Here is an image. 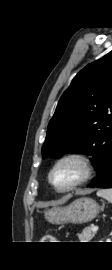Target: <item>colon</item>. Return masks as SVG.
<instances>
[{"instance_id": "1", "label": "colon", "mask_w": 112, "mask_h": 270, "mask_svg": "<svg viewBox=\"0 0 112 270\" xmlns=\"http://www.w3.org/2000/svg\"><path fill=\"white\" fill-rule=\"evenodd\" d=\"M45 238H46V239H49V238H51V236H46Z\"/></svg>"}]
</instances>
